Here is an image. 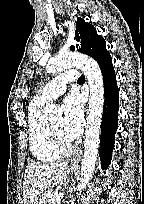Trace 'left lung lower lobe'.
Returning <instances> with one entry per match:
<instances>
[{"label":"left lung lower lobe","instance_id":"left-lung-lower-lobe-1","mask_svg":"<svg viewBox=\"0 0 144 204\" xmlns=\"http://www.w3.org/2000/svg\"><path fill=\"white\" fill-rule=\"evenodd\" d=\"M101 67L105 87V100L100 138V159L102 168L105 169L111 163L114 149V138L118 126L119 89L112 64V58L106 57L98 63Z\"/></svg>","mask_w":144,"mask_h":204}]
</instances>
